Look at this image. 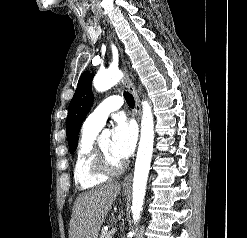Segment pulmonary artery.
<instances>
[{
    "mask_svg": "<svg viewBox=\"0 0 247 238\" xmlns=\"http://www.w3.org/2000/svg\"><path fill=\"white\" fill-rule=\"evenodd\" d=\"M123 104L120 96L113 95L102 101L86 118L84 126L100 130L106 122L108 116L117 111Z\"/></svg>",
    "mask_w": 247,
    "mask_h": 238,
    "instance_id": "pulmonary-artery-1",
    "label": "pulmonary artery"
}]
</instances>
